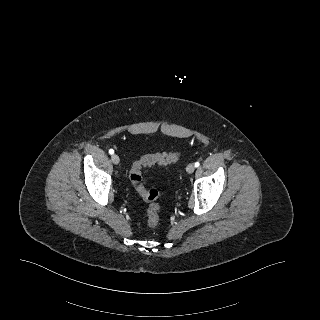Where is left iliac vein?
<instances>
[{
	"label": "left iliac vein",
	"instance_id": "1",
	"mask_svg": "<svg viewBox=\"0 0 320 320\" xmlns=\"http://www.w3.org/2000/svg\"><path fill=\"white\" fill-rule=\"evenodd\" d=\"M195 170V165L193 163H190L187 167H186V171L188 173H193Z\"/></svg>",
	"mask_w": 320,
	"mask_h": 320
}]
</instances>
